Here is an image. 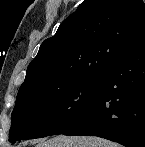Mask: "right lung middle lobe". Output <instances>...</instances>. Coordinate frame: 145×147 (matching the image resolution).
<instances>
[{"mask_svg":"<svg viewBox=\"0 0 145 147\" xmlns=\"http://www.w3.org/2000/svg\"><path fill=\"white\" fill-rule=\"evenodd\" d=\"M101 80V74H91L54 91L17 95L10 142L63 133L92 102Z\"/></svg>","mask_w":145,"mask_h":147,"instance_id":"dd1d6c3e","label":"right lung middle lobe"}]
</instances>
